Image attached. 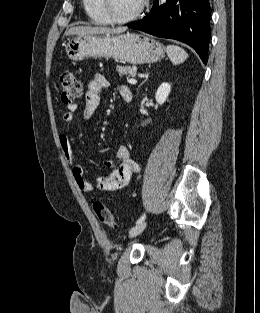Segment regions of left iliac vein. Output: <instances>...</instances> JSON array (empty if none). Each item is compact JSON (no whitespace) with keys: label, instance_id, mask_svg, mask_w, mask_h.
I'll return each instance as SVG.
<instances>
[{"label":"left iliac vein","instance_id":"left-iliac-vein-1","mask_svg":"<svg viewBox=\"0 0 260 313\" xmlns=\"http://www.w3.org/2000/svg\"><path fill=\"white\" fill-rule=\"evenodd\" d=\"M147 223L145 221L136 224L134 227H132L129 231L130 237H136L139 235L145 228H146Z\"/></svg>","mask_w":260,"mask_h":313}]
</instances>
